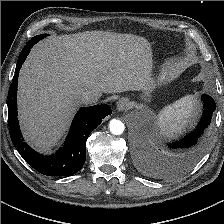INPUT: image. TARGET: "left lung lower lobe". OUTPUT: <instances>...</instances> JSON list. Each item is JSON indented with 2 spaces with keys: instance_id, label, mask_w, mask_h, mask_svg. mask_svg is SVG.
Returning <instances> with one entry per match:
<instances>
[{
  "instance_id": "obj_1",
  "label": "left lung lower lobe",
  "mask_w": 224,
  "mask_h": 224,
  "mask_svg": "<svg viewBox=\"0 0 224 224\" xmlns=\"http://www.w3.org/2000/svg\"><path fill=\"white\" fill-rule=\"evenodd\" d=\"M203 102V114L201 120L195 129V131L189 133L180 141L169 143L168 146L172 149H178L177 155L172 157L173 159L158 160L156 157L143 151L141 153L142 166L154 170L161 171L167 167H182L193 163L200 154V143L199 138L203 135L204 130L208 127L211 122L212 115L216 109V104L212 97L209 95H202Z\"/></svg>"
}]
</instances>
